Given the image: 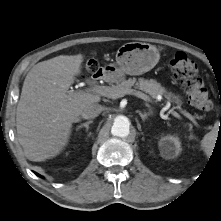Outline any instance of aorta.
Instances as JSON below:
<instances>
[{
  "instance_id": "aorta-1",
  "label": "aorta",
  "mask_w": 221,
  "mask_h": 221,
  "mask_svg": "<svg viewBox=\"0 0 221 221\" xmlns=\"http://www.w3.org/2000/svg\"><path fill=\"white\" fill-rule=\"evenodd\" d=\"M111 133L118 137H127L130 134V121L126 116L117 115L113 120Z\"/></svg>"
}]
</instances>
